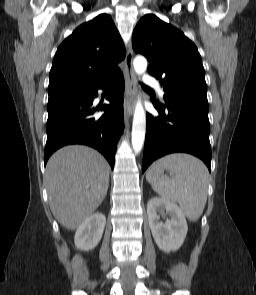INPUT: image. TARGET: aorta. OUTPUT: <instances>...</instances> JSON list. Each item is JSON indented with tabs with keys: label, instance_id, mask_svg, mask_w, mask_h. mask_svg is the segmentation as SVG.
I'll return each mask as SVG.
<instances>
[{
	"label": "aorta",
	"instance_id": "aorta-1",
	"mask_svg": "<svg viewBox=\"0 0 256 295\" xmlns=\"http://www.w3.org/2000/svg\"><path fill=\"white\" fill-rule=\"evenodd\" d=\"M134 70L138 75L143 74L147 69V60L143 56L135 57L133 61ZM146 132V116L140 100L136 103L133 124H132V147L135 153L141 151Z\"/></svg>",
	"mask_w": 256,
	"mask_h": 295
}]
</instances>
